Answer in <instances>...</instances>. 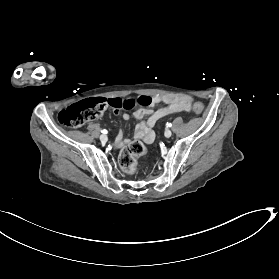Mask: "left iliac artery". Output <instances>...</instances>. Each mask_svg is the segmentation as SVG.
<instances>
[{"label":"left iliac artery","mask_w":279,"mask_h":279,"mask_svg":"<svg viewBox=\"0 0 279 279\" xmlns=\"http://www.w3.org/2000/svg\"><path fill=\"white\" fill-rule=\"evenodd\" d=\"M171 126H172L171 123H167V124H166V127H171Z\"/></svg>","instance_id":"left-iliac-artery-1"}]
</instances>
